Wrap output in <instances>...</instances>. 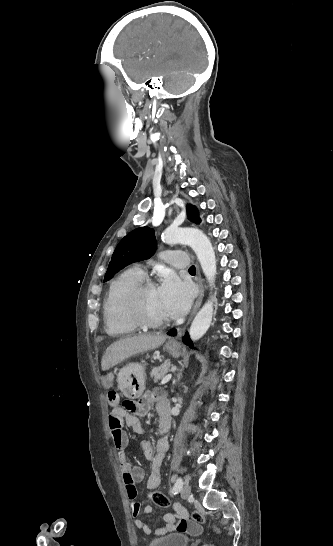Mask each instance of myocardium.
Masks as SVG:
<instances>
[{"instance_id": "f54148a6", "label": "myocardium", "mask_w": 333, "mask_h": 546, "mask_svg": "<svg viewBox=\"0 0 333 546\" xmlns=\"http://www.w3.org/2000/svg\"><path fill=\"white\" fill-rule=\"evenodd\" d=\"M156 287L155 283L151 280H141L140 282L131 286L125 293L123 304L125 311L133 322L138 326L144 328H162L168 324L166 320H153L147 317L142 308V296L144 292Z\"/></svg>"}]
</instances>
